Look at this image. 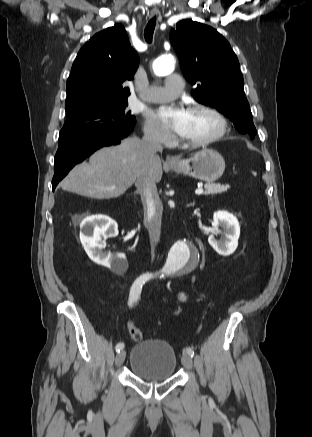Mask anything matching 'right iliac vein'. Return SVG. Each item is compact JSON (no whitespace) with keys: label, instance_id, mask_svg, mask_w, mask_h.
Segmentation results:
<instances>
[{"label":"right iliac vein","instance_id":"right-iliac-vein-1","mask_svg":"<svg viewBox=\"0 0 312 437\" xmlns=\"http://www.w3.org/2000/svg\"><path fill=\"white\" fill-rule=\"evenodd\" d=\"M126 352L124 350L117 353L115 358V363L117 366H120L125 360Z\"/></svg>","mask_w":312,"mask_h":437}]
</instances>
